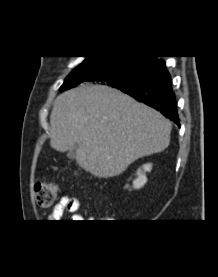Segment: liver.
Masks as SVG:
<instances>
[{
    "label": "liver",
    "instance_id": "liver-1",
    "mask_svg": "<svg viewBox=\"0 0 218 277\" xmlns=\"http://www.w3.org/2000/svg\"><path fill=\"white\" fill-rule=\"evenodd\" d=\"M50 145L78 144L76 161L99 178L121 174L135 160L165 150L171 123L156 110L103 85H81L59 95L50 115Z\"/></svg>",
    "mask_w": 218,
    "mask_h": 277
}]
</instances>
